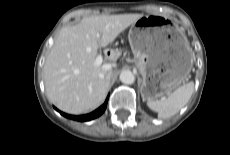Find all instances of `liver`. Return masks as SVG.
<instances>
[{"instance_id": "liver-1", "label": "liver", "mask_w": 230, "mask_h": 155, "mask_svg": "<svg viewBox=\"0 0 230 155\" xmlns=\"http://www.w3.org/2000/svg\"><path fill=\"white\" fill-rule=\"evenodd\" d=\"M143 14L86 17L77 25L62 28L44 64L48 98L62 111L82 114L105 100L110 72L95 65L98 48L116 37Z\"/></svg>"}]
</instances>
